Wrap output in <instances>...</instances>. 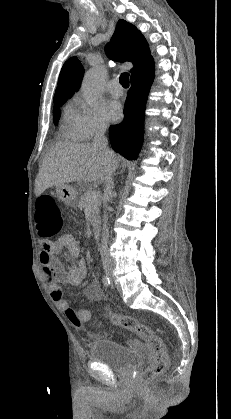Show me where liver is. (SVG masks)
I'll use <instances>...</instances> for the list:
<instances>
[{"label": "liver", "instance_id": "obj_1", "mask_svg": "<svg viewBox=\"0 0 231 419\" xmlns=\"http://www.w3.org/2000/svg\"><path fill=\"white\" fill-rule=\"evenodd\" d=\"M119 157L109 160L92 144L61 142L46 154L35 180V195L46 189L70 182L103 183L108 174L117 168Z\"/></svg>", "mask_w": 231, "mask_h": 419}]
</instances>
